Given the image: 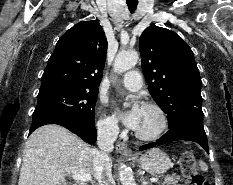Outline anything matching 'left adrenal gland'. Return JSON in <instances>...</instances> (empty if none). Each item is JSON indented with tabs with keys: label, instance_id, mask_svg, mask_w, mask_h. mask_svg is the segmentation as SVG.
I'll list each match as a JSON object with an SVG mask.
<instances>
[{
	"label": "left adrenal gland",
	"instance_id": "obj_1",
	"mask_svg": "<svg viewBox=\"0 0 233 185\" xmlns=\"http://www.w3.org/2000/svg\"><path fill=\"white\" fill-rule=\"evenodd\" d=\"M140 182L142 183V185H149V182L143 176H140Z\"/></svg>",
	"mask_w": 233,
	"mask_h": 185
}]
</instances>
